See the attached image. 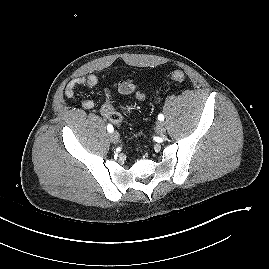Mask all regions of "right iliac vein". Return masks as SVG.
Instances as JSON below:
<instances>
[{"mask_svg":"<svg viewBox=\"0 0 269 269\" xmlns=\"http://www.w3.org/2000/svg\"><path fill=\"white\" fill-rule=\"evenodd\" d=\"M109 139L113 143H118L119 142V134L116 131H113L109 134Z\"/></svg>","mask_w":269,"mask_h":269,"instance_id":"1","label":"right iliac vein"}]
</instances>
